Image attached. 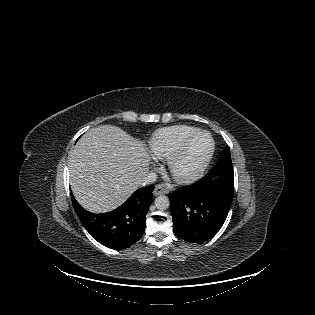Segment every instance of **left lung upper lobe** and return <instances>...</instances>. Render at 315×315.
Instances as JSON below:
<instances>
[{
    "instance_id": "1",
    "label": "left lung upper lobe",
    "mask_w": 315,
    "mask_h": 315,
    "mask_svg": "<svg viewBox=\"0 0 315 315\" xmlns=\"http://www.w3.org/2000/svg\"><path fill=\"white\" fill-rule=\"evenodd\" d=\"M210 174L214 177L222 174H233V166L230 156V149L228 146L224 149L221 156L219 157L216 165L210 171Z\"/></svg>"
}]
</instances>
